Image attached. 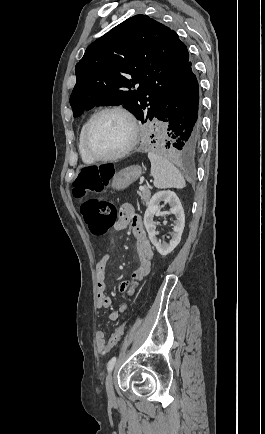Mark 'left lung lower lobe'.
Wrapping results in <instances>:
<instances>
[{"label":"left lung lower lobe","instance_id":"obj_1","mask_svg":"<svg viewBox=\"0 0 265 434\" xmlns=\"http://www.w3.org/2000/svg\"><path fill=\"white\" fill-rule=\"evenodd\" d=\"M199 109V85L189 60L155 111V118L167 122L170 140L154 149L163 152L164 147H174L183 155L196 152L201 133Z\"/></svg>","mask_w":265,"mask_h":434}]
</instances>
